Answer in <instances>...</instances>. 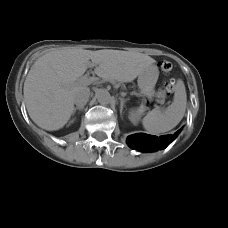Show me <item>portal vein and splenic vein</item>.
I'll return each instance as SVG.
<instances>
[{"mask_svg":"<svg viewBox=\"0 0 228 228\" xmlns=\"http://www.w3.org/2000/svg\"><path fill=\"white\" fill-rule=\"evenodd\" d=\"M93 81H94V78L93 77H91V78L84 77L82 79H79L77 81V83H84V84H87L88 85V84H90Z\"/></svg>","mask_w":228,"mask_h":228,"instance_id":"obj_1","label":"portal vein and splenic vein"}]
</instances>
